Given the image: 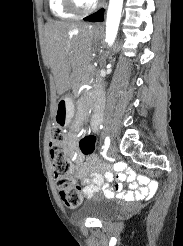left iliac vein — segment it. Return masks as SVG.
<instances>
[{
  "label": "left iliac vein",
  "mask_w": 183,
  "mask_h": 246,
  "mask_svg": "<svg viewBox=\"0 0 183 246\" xmlns=\"http://www.w3.org/2000/svg\"><path fill=\"white\" fill-rule=\"evenodd\" d=\"M118 152L117 146L115 143H112L108 149V156L115 157Z\"/></svg>",
  "instance_id": "left-iliac-vein-1"
}]
</instances>
